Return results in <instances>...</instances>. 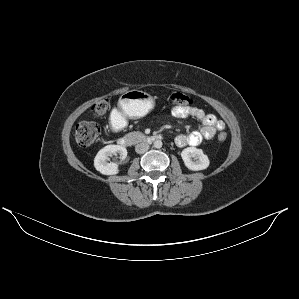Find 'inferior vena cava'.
I'll list each match as a JSON object with an SVG mask.
<instances>
[{
	"instance_id": "obj_1",
	"label": "inferior vena cava",
	"mask_w": 299,
	"mask_h": 299,
	"mask_svg": "<svg viewBox=\"0 0 299 299\" xmlns=\"http://www.w3.org/2000/svg\"><path fill=\"white\" fill-rule=\"evenodd\" d=\"M148 149H149V144L148 143H144V142L137 144L136 147H135V151L138 154H143L146 151H148Z\"/></svg>"
}]
</instances>
